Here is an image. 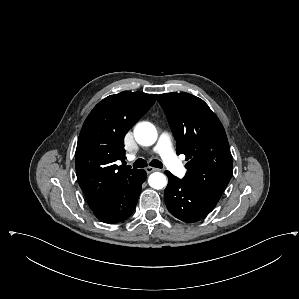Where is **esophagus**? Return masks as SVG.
Listing matches in <instances>:
<instances>
[{"mask_svg": "<svg viewBox=\"0 0 299 299\" xmlns=\"http://www.w3.org/2000/svg\"><path fill=\"white\" fill-rule=\"evenodd\" d=\"M145 171L147 172V174H149V173H152L154 171H160V169L149 166V167L145 168Z\"/></svg>", "mask_w": 299, "mask_h": 299, "instance_id": "esophagus-1", "label": "esophagus"}]
</instances>
